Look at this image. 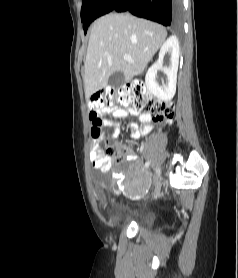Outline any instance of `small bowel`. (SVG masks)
Wrapping results in <instances>:
<instances>
[{
	"label": "small bowel",
	"mask_w": 238,
	"mask_h": 278,
	"mask_svg": "<svg viewBox=\"0 0 238 278\" xmlns=\"http://www.w3.org/2000/svg\"><path fill=\"white\" fill-rule=\"evenodd\" d=\"M103 113L105 116H108V117H105L102 120L100 128L106 127V126H111L115 130H117L120 126V124L115 119L124 118L128 115V112L123 109H114V110H110V111H104ZM138 119H139V123L131 122L129 124V127L131 129V137L133 139H138L141 135L148 134L152 129L151 116L149 114H145V113L138 114ZM98 139L99 138H97V139L94 138L95 141L93 143V147H92V150L90 153V158H91L93 167L99 171L104 172L107 169H109L113 160L106 157L105 153L100 148ZM108 145H113V146L117 147L118 151L121 154L127 155V157L129 159H131V160L135 159V157L130 153V151L127 148H125L124 146H122L120 144V142H118L115 139V133H113L111 135V137L109 138ZM121 186H122V184L119 183L118 186L116 187V191H118V192L121 191Z\"/></svg>",
	"instance_id": "obj_1"
}]
</instances>
